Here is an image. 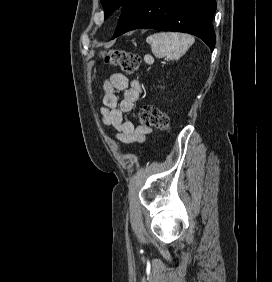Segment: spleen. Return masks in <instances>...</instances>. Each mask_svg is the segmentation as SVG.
<instances>
[{"label":"spleen","mask_w":272,"mask_h":282,"mask_svg":"<svg viewBox=\"0 0 272 282\" xmlns=\"http://www.w3.org/2000/svg\"><path fill=\"white\" fill-rule=\"evenodd\" d=\"M146 41L156 57L166 56L171 60H177L186 53L195 39L187 34L161 32L148 36Z\"/></svg>","instance_id":"obj_1"}]
</instances>
